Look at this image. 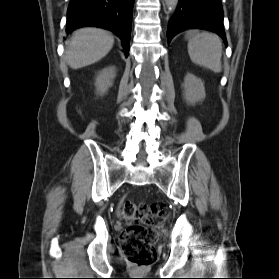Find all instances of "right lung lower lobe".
I'll return each mask as SVG.
<instances>
[{"label": "right lung lower lobe", "mask_w": 279, "mask_h": 279, "mask_svg": "<svg viewBox=\"0 0 279 279\" xmlns=\"http://www.w3.org/2000/svg\"><path fill=\"white\" fill-rule=\"evenodd\" d=\"M134 0H71L66 32L84 26L111 30L120 37L124 54L129 55Z\"/></svg>", "instance_id": "1"}]
</instances>
